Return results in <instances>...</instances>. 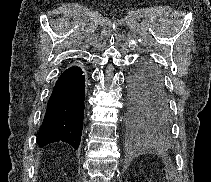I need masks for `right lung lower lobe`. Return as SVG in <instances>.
Returning a JSON list of instances; mask_svg holds the SVG:
<instances>
[{"label": "right lung lower lobe", "instance_id": "obj_1", "mask_svg": "<svg viewBox=\"0 0 211 182\" xmlns=\"http://www.w3.org/2000/svg\"><path fill=\"white\" fill-rule=\"evenodd\" d=\"M85 99V76L79 67L65 70L49 98L37 143L43 147L63 141L78 149L81 140Z\"/></svg>", "mask_w": 211, "mask_h": 182}]
</instances>
